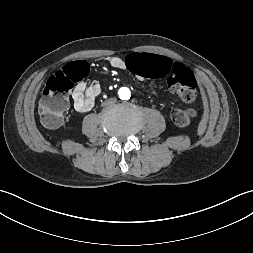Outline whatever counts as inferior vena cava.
<instances>
[{
  "instance_id": "obj_1",
  "label": "inferior vena cava",
  "mask_w": 253,
  "mask_h": 253,
  "mask_svg": "<svg viewBox=\"0 0 253 253\" xmlns=\"http://www.w3.org/2000/svg\"><path fill=\"white\" fill-rule=\"evenodd\" d=\"M117 103V100L114 98V97H111V98H106V99H102L100 101V104L102 106H107V105H115Z\"/></svg>"
}]
</instances>
